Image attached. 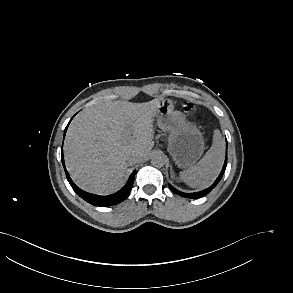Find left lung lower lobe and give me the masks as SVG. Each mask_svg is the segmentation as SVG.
<instances>
[{"label": "left lung lower lobe", "mask_w": 293, "mask_h": 293, "mask_svg": "<svg viewBox=\"0 0 293 293\" xmlns=\"http://www.w3.org/2000/svg\"><path fill=\"white\" fill-rule=\"evenodd\" d=\"M226 165H227V152H226V158H225V162H224V165H223L221 173L219 174V176L217 177V179L215 180L213 185L210 186L209 188L203 190V191L196 192V193H183V192H180L177 189H175L170 184H169V187L175 194H178V195L183 196V197L192 198V199L203 197V196L207 195L219 183V181L221 180V178H222V176H223V174L225 172Z\"/></svg>", "instance_id": "left-lung-lower-lobe-1"}]
</instances>
